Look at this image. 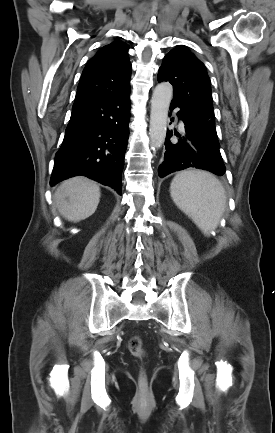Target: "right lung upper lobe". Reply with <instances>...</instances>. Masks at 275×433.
Returning <instances> with one entry per match:
<instances>
[{"mask_svg":"<svg viewBox=\"0 0 275 433\" xmlns=\"http://www.w3.org/2000/svg\"><path fill=\"white\" fill-rule=\"evenodd\" d=\"M130 76L128 46L121 41L104 46L87 63L77 88L73 107L100 97L129 92Z\"/></svg>","mask_w":275,"mask_h":433,"instance_id":"cb5924a9","label":"right lung upper lobe"}]
</instances>
